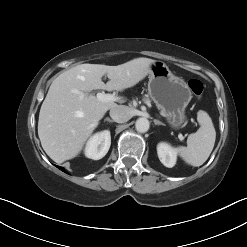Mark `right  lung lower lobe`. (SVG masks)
Here are the masks:
<instances>
[{
  "mask_svg": "<svg viewBox=\"0 0 247 247\" xmlns=\"http://www.w3.org/2000/svg\"><path fill=\"white\" fill-rule=\"evenodd\" d=\"M60 170H62V171H64V169L62 168V167H59V166H57ZM65 172V171H64Z\"/></svg>",
  "mask_w": 247,
  "mask_h": 247,
  "instance_id": "right-lung-lower-lobe-1",
  "label": "right lung lower lobe"
}]
</instances>
